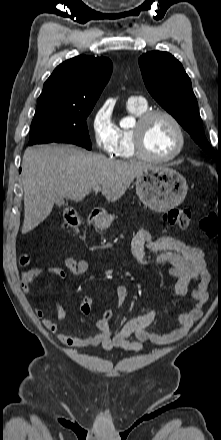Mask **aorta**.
Wrapping results in <instances>:
<instances>
[{
  "label": "aorta",
  "instance_id": "762f6f07",
  "mask_svg": "<svg viewBox=\"0 0 221 440\" xmlns=\"http://www.w3.org/2000/svg\"><path fill=\"white\" fill-rule=\"evenodd\" d=\"M131 118H124L121 121V126H126L130 122Z\"/></svg>",
  "mask_w": 221,
  "mask_h": 440
}]
</instances>
